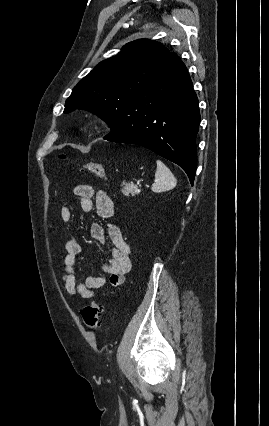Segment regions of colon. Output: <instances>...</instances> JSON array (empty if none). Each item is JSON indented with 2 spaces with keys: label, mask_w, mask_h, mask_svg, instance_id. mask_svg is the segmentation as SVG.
Listing matches in <instances>:
<instances>
[{
  "label": "colon",
  "mask_w": 269,
  "mask_h": 426,
  "mask_svg": "<svg viewBox=\"0 0 269 426\" xmlns=\"http://www.w3.org/2000/svg\"><path fill=\"white\" fill-rule=\"evenodd\" d=\"M83 170L93 174L99 178H105V168L102 164L97 162H86L82 166ZM82 318L84 323L91 329H98L101 324V317L103 314V306L97 300H92L82 309Z\"/></svg>",
  "instance_id": "colon-1"
}]
</instances>
